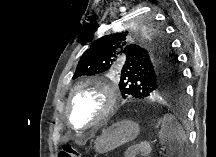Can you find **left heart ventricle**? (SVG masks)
I'll return each instance as SVG.
<instances>
[{"mask_svg": "<svg viewBox=\"0 0 216 157\" xmlns=\"http://www.w3.org/2000/svg\"><path fill=\"white\" fill-rule=\"evenodd\" d=\"M104 104L100 93L91 89L79 91L71 107L73 122L76 125H84L92 121Z\"/></svg>", "mask_w": 216, "mask_h": 157, "instance_id": "1", "label": "left heart ventricle"}]
</instances>
